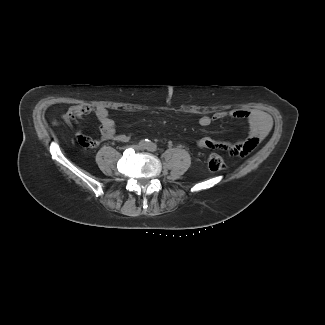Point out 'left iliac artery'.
Segmentation results:
<instances>
[{
    "label": "left iliac artery",
    "instance_id": "obj_1",
    "mask_svg": "<svg viewBox=\"0 0 325 325\" xmlns=\"http://www.w3.org/2000/svg\"><path fill=\"white\" fill-rule=\"evenodd\" d=\"M147 149L151 152H154L157 150V145L155 143L150 142L147 146Z\"/></svg>",
    "mask_w": 325,
    "mask_h": 325
}]
</instances>
